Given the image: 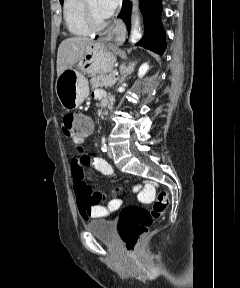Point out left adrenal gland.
Here are the masks:
<instances>
[{"label":"left adrenal gland","mask_w":240,"mask_h":288,"mask_svg":"<svg viewBox=\"0 0 240 288\" xmlns=\"http://www.w3.org/2000/svg\"><path fill=\"white\" fill-rule=\"evenodd\" d=\"M135 65L136 62H130L128 65H126V63H123L120 66L121 78L119 80V84L122 83L126 79V77L134 71Z\"/></svg>","instance_id":"a2214340"}]
</instances>
